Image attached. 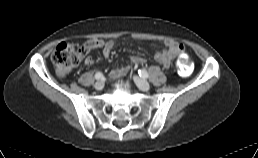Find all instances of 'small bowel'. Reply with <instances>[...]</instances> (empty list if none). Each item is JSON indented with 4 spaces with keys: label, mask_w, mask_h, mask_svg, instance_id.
Returning a JSON list of instances; mask_svg holds the SVG:
<instances>
[{
    "label": "small bowel",
    "mask_w": 258,
    "mask_h": 158,
    "mask_svg": "<svg viewBox=\"0 0 258 158\" xmlns=\"http://www.w3.org/2000/svg\"><path fill=\"white\" fill-rule=\"evenodd\" d=\"M88 45L90 49H99L102 52L103 57L108 58L110 53L114 47V41L108 40H90L85 43ZM184 48L183 44L173 40L166 39L164 41V47L156 52L155 59L158 63H160L163 67L169 68L172 60L181 52ZM92 60H88V63H92ZM131 62L135 64H144L146 59L142 56H134L131 58ZM127 71L126 68H119L113 74L114 75H122Z\"/></svg>",
    "instance_id": "small-bowel-1"
}]
</instances>
